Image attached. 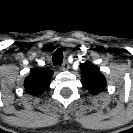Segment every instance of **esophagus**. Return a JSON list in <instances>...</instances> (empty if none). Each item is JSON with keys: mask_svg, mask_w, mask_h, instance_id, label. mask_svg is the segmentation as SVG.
Listing matches in <instances>:
<instances>
[{"mask_svg": "<svg viewBox=\"0 0 133 133\" xmlns=\"http://www.w3.org/2000/svg\"><path fill=\"white\" fill-rule=\"evenodd\" d=\"M60 69L62 71L68 70L69 69V64L67 61H64L63 64L61 65Z\"/></svg>", "mask_w": 133, "mask_h": 133, "instance_id": "obj_1", "label": "esophagus"}]
</instances>
